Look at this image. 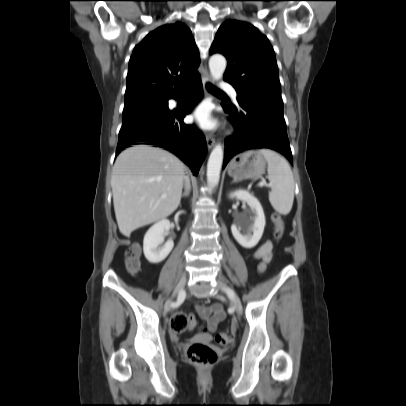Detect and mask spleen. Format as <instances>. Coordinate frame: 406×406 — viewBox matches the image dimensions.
Returning a JSON list of instances; mask_svg holds the SVG:
<instances>
[{"label":"spleen","mask_w":406,"mask_h":406,"mask_svg":"<svg viewBox=\"0 0 406 406\" xmlns=\"http://www.w3.org/2000/svg\"><path fill=\"white\" fill-rule=\"evenodd\" d=\"M268 163L267 173L271 183L269 200L272 207L280 214L287 215L294 201V178L288 162L270 149L258 151Z\"/></svg>","instance_id":"1"}]
</instances>
